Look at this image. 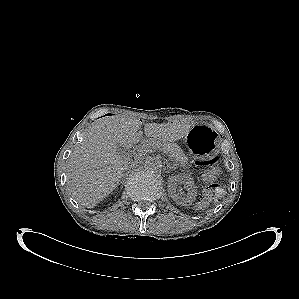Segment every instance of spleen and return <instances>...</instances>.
<instances>
[{
	"instance_id": "obj_1",
	"label": "spleen",
	"mask_w": 299,
	"mask_h": 299,
	"mask_svg": "<svg viewBox=\"0 0 299 299\" xmlns=\"http://www.w3.org/2000/svg\"><path fill=\"white\" fill-rule=\"evenodd\" d=\"M209 206V202L205 201V200H200L198 202L195 203L193 209L195 211H201L206 209Z\"/></svg>"
}]
</instances>
